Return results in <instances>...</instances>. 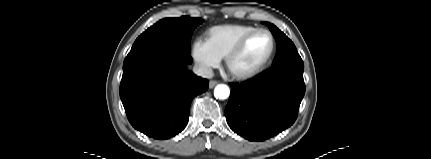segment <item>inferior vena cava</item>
Here are the masks:
<instances>
[{"label":"inferior vena cava","instance_id":"inferior-vena-cava-1","mask_svg":"<svg viewBox=\"0 0 431 159\" xmlns=\"http://www.w3.org/2000/svg\"><path fill=\"white\" fill-rule=\"evenodd\" d=\"M193 72L196 75L207 79H210L214 76L212 69L203 64H195L193 67Z\"/></svg>","mask_w":431,"mask_h":159}]
</instances>
